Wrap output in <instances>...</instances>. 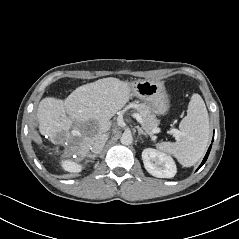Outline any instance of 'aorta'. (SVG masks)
I'll return each mask as SVG.
<instances>
[{"label":"aorta","instance_id":"obj_1","mask_svg":"<svg viewBox=\"0 0 239 239\" xmlns=\"http://www.w3.org/2000/svg\"><path fill=\"white\" fill-rule=\"evenodd\" d=\"M123 145H130L133 142V137L131 133H124L120 139Z\"/></svg>","mask_w":239,"mask_h":239}]
</instances>
